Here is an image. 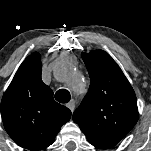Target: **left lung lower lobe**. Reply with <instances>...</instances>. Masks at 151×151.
Masks as SVG:
<instances>
[{"label":"left lung lower lobe","mask_w":151,"mask_h":151,"mask_svg":"<svg viewBox=\"0 0 151 151\" xmlns=\"http://www.w3.org/2000/svg\"><path fill=\"white\" fill-rule=\"evenodd\" d=\"M119 141H114V140H94L90 141L92 145L98 148L102 149H109L113 146H115Z\"/></svg>","instance_id":"1"}]
</instances>
